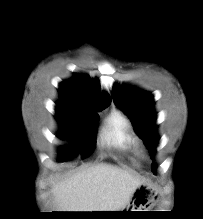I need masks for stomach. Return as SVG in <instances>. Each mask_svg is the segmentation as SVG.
Listing matches in <instances>:
<instances>
[{"label":"stomach","mask_w":203,"mask_h":219,"mask_svg":"<svg viewBox=\"0 0 203 219\" xmlns=\"http://www.w3.org/2000/svg\"><path fill=\"white\" fill-rule=\"evenodd\" d=\"M142 196L144 197V200H146V202H145V204L139 205L138 209L145 208L146 205L151 204V203L154 202L155 195L153 194L152 191H149V188H145ZM131 211H143V210H131Z\"/></svg>","instance_id":"obj_1"}]
</instances>
